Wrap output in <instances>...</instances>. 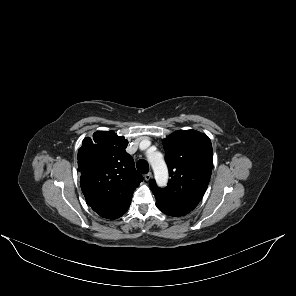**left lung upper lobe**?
<instances>
[{
    "mask_svg": "<svg viewBox=\"0 0 296 296\" xmlns=\"http://www.w3.org/2000/svg\"><path fill=\"white\" fill-rule=\"evenodd\" d=\"M171 179L165 189L151 180L157 206L189 213L202 199L212 172L213 151L209 137L195 130H179L162 140Z\"/></svg>",
    "mask_w": 296,
    "mask_h": 296,
    "instance_id": "5c2ea615",
    "label": "left lung upper lobe"
}]
</instances>
